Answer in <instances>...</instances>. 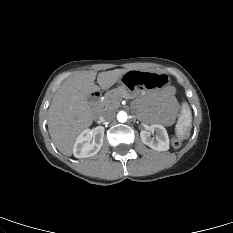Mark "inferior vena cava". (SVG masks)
I'll return each instance as SVG.
<instances>
[{"instance_id":"602c4592","label":"inferior vena cava","mask_w":233,"mask_h":233,"mask_svg":"<svg viewBox=\"0 0 233 233\" xmlns=\"http://www.w3.org/2000/svg\"><path fill=\"white\" fill-rule=\"evenodd\" d=\"M115 118V113L111 110L104 111L100 117L103 122L112 121Z\"/></svg>"}]
</instances>
